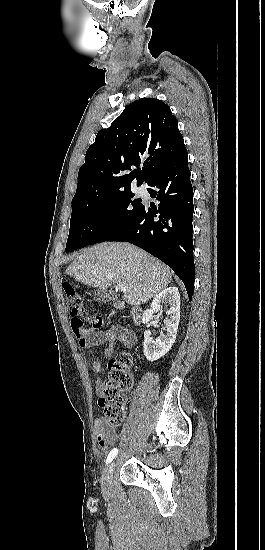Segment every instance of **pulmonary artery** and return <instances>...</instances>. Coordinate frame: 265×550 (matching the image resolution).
Here are the masks:
<instances>
[{"instance_id": "e3ab8cb5", "label": "pulmonary artery", "mask_w": 265, "mask_h": 550, "mask_svg": "<svg viewBox=\"0 0 265 550\" xmlns=\"http://www.w3.org/2000/svg\"><path fill=\"white\" fill-rule=\"evenodd\" d=\"M138 191H139V193H141V194H145V193H146V189H145L144 187H139V188H138Z\"/></svg>"}]
</instances>
